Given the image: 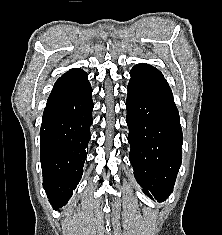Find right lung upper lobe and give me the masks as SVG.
<instances>
[{"instance_id": "cb5924a9", "label": "right lung upper lobe", "mask_w": 222, "mask_h": 235, "mask_svg": "<svg viewBox=\"0 0 222 235\" xmlns=\"http://www.w3.org/2000/svg\"><path fill=\"white\" fill-rule=\"evenodd\" d=\"M81 69H78V68H75V69H71L70 71H68V73L69 72H74V71H80Z\"/></svg>"}]
</instances>
